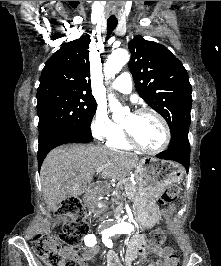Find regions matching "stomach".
Returning <instances> with one entry per match:
<instances>
[{
	"mask_svg": "<svg viewBox=\"0 0 221 266\" xmlns=\"http://www.w3.org/2000/svg\"><path fill=\"white\" fill-rule=\"evenodd\" d=\"M182 176L183 169L175 162L154 157H144L138 162L135 170L138 191L133 202L145 223L158 217L152 200L169 185L179 182Z\"/></svg>",
	"mask_w": 221,
	"mask_h": 266,
	"instance_id": "1",
	"label": "stomach"
}]
</instances>
